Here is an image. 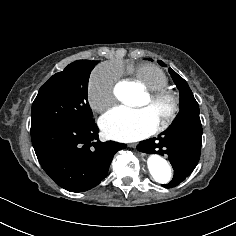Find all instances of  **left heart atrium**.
<instances>
[{
	"label": "left heart atrium",
	"mask_w": 236,
	"mask_h": 236,
	"mask_svg": "<svg viewBox=\"0 0 236 236\" xmlns=\"http://www.w3.org/2000/svg\"><path fill=\"white\" fill-rule=\"evenodd\" d=\"M100 127L105 136L110 139L132 142L152 133L155 123L149 109L118 106L110 109L101 117Z\"/></svg>",
	"instance_id": "1"
}]
</instances>
